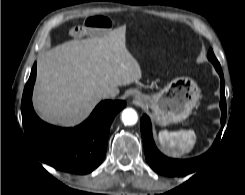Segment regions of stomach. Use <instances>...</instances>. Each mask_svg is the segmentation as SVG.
I'll list each match as a JSON object with an SVG mask.
<instances>
[{"mask_svg":"<svg viewBox=\"0 0 245 195\" xmlns=\"http://www.w3.org/2000/svg\"><path fill=\"white\" fill-rule=\"evenodd\" d=\"M200 97L198 85L189 77H177L153 95H138V99L151 108L156 123L162 126L188 118Z\"/></svg>","mask_w":245,"mask_h":195,"instance_id":"0dacf381","label":"stomach"}]
</instances>
